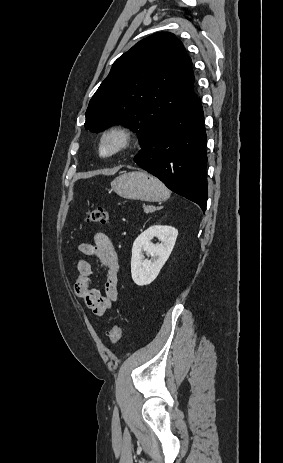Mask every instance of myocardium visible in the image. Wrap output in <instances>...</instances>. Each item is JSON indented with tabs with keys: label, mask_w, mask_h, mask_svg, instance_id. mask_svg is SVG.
Wrapping results in <instances>:
<instances>
[{
	"label": "myocardium",
	"mask_w": 283,
	"mask_h": 463,
	"mask_svg": "<svg viewBox=\"0 0 283 463\" xmlns=\"http://www.w3.org/2000/svg\"><path fill=\"white\" fill-rule=\"evenodd\" d=\"M134 140L133 131L125 124L115 123L104 129L97 142L98 154L103 158H111L128 150ZM111 144L109 149L106 146Z\"/></svg>",
	"instance_id": "myocardium-1"
}]
</instances>
